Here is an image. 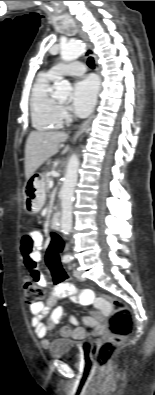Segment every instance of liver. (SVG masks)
<instances>
[{
  "instance_id": "1",
  "label": "liver",
  "mask_w": 155,
  "mask_h": 395,
  "mask_svg": "<svg viewBox=\"0 0 155 395\" xmlns=\"http://www.w3.org/2000/svg\"><path fill=\"white\" fill-rule=\"evenodd\" d=\"M68 139L65 132L33 131L29 134L25 146V177L28 180L35 171L50 157L59 151V145ZM66 146L62 154H66Z\"/></svg>"
}]
</instances>
